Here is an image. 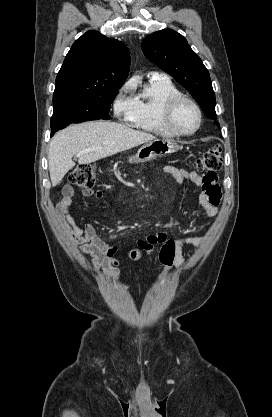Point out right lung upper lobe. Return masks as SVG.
<instances>
[{"mask_svg": "<svg viewBox=\"0 0 272 417\" xmlns=\"http://www.w3.org/2000/svg\"><path fill=\"white\" fill-rule=\"evenodd\" d=\"M129 50L90 30L77 39L57 74L54 96L120 88L129 73Z\"/></svg>", "mask_w": 272, "mask_h": 417, "instance_id": "1", "label": "right lung upper lobe"}]
</instances>
